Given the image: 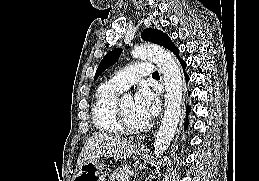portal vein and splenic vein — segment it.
<instances>
[{
	"label": "portal vein and splenic vein",
	"mask_w": 259,
	"mask_h": 181,
	"mask_svg": "<svg viewBox=\"0 0 259 181\" xmlns=\"http://www.w3.org/2000/svg\"><path fill=\"white\" fill-rule=\"evenodd\" d=\"M120 181H129V178L122 177Z\"/></svg>",
	"instance_id": "18ae733b"
}]
</instances>
